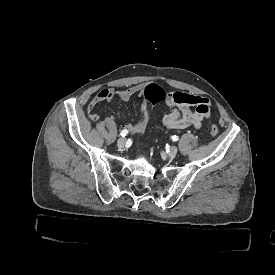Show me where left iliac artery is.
<instances>
[{
    "instance_id": "obj_1",
    "label": "left iliac artery",
    "mask_w": 275,
    "mask_h": 275,
    "mask_svg": "<svg viewBox=\"0 0 275 275\" xmlns=\"http://www.w3.org/2000/svg\"><path fill=\"white\" fill-rule=\"evenodd\" d=\"M171 138H172L173 141H178L179 140V137L176 136V135L172 136Z\"/></svg>"
}]
</instances>
